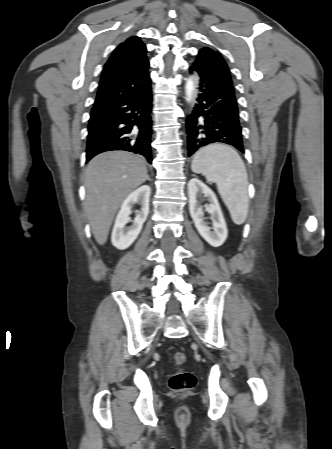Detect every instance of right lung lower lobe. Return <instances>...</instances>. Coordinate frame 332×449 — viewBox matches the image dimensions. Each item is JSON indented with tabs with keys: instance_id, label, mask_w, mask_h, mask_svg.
I'll use <instances>...</instances> for the list:
<instances>
[{
	"instance_id": "98d812e1",
	"label": "right lung lower lobe",
	"mask_w": 332,
	"mask_h": 449,
	"mask_svg": "<svg viewBox=\"0 0 332 449\" xmlns=\"http://www.w3.org/2000/svg\"><path fill=\"white\" fill-rule=\"evenodd\" d=\"M152 94L95 104L90 113L86 161L112 150H124L144 156L152 163Z\"/></svg>"
}]
</instances>
